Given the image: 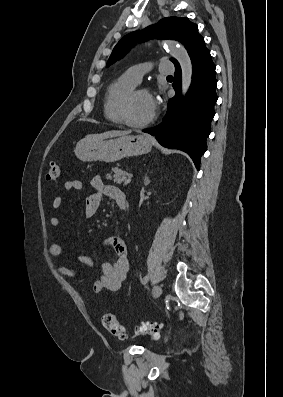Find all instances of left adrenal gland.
Instances as JSON below:
<instances>
[{
	"instance_id": "left-adrenal-gland-1",
	"label": "left adrenal gland",
	"mask_w": 283,
	"mask_h": 397,
	"mask_svg": "<svg viewBox=\"0 0 283 397\" xmlns=\"http://www.w3.org/2000/svg\"><path fill=\"white\" fill-rule=\"evenodd\" d=\"M150 184V179L148 178V176L144 177V185L148 186Z\"/></svg>"
}]
</instances>
